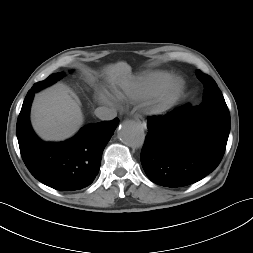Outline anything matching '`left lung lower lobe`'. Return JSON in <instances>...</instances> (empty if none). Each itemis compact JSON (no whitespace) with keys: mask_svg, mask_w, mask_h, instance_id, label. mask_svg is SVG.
Returning <instances> with one entry per match:
<instances>
[{"mask_svg":"<svg viewBox=\"0 0 253 253\" xmlns=\"http://www.w3.org/2000/svg\"><path fill=\"white\" fill-rule=\"evenodd\" d=\"M141 163L149 179L165 187L193 184L219 165L230 132V114L223 100L178 107L148 119Z\"/></svg>","mask_w":253,"mask_h":253,"instance_id":"0a47b994","label":"left lung lower lobe"}]
</instances>
